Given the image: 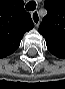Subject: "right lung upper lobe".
<instances>
[{
  "mask_svg": "<svg viewBox=\"0 0 65 89\" xmlns=\"http://www.w3.org/2000/svg\"><path fill=\"white\" fill-rule=\"evenodd\" d=\"M34 27L22 0H0V58L12 54L25 32Z\"/></svg>",
  "mask_w": 65,
  "mask_h": 89,
  "instance_id": "cb5924a9",
  "label": "right lung upper lobe"
}]
</instances>
